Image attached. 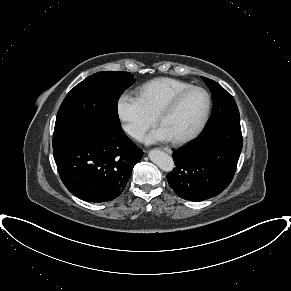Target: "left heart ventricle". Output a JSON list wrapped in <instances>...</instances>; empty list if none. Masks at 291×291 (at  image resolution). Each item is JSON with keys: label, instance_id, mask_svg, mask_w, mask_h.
Returning <instances> with one entry per match:
<instances>
[{"label": "left heart ventricle", "instance_id": "obj_1", "mask_svg": "<svg viewBox=\"0 0 291 291\" xmlns=\"http://www.w3.org/2000/svg\"><path fill=\"white\" fill-rule=\"evenodd\" d=\"M206 102V96L203 92H190L170 114L163 118L161 127L172 140L188 135L198 125L204 113Z\"/></svg>", "mask_w": 291, "mask_h": 291}]
</instances>
